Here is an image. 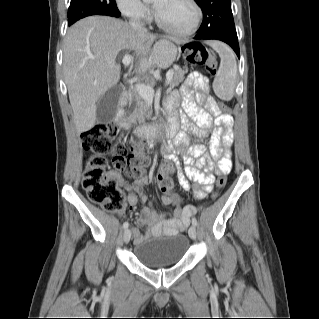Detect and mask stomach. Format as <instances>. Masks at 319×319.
Listing matches in <instances>:
<instances>
[{
  "mask_svg": "<svg viewBox=\"0 0 319 319\" xmlns=\"http://www.w3.org/2000/svg\"><path fill=\"white\" fill-rule=\"evenodd\" d=\"M178 48L167 40L159 41L154 47L155 64L159 67H167L176 59Z\"/></svg>",
  "mask_w": 319,
  "mask_h": 319,
  "instance_id": "0dacf381",
  "label": "stomach"
}]
</instances>
